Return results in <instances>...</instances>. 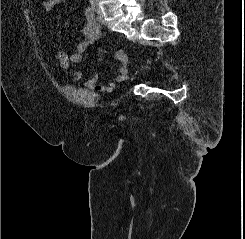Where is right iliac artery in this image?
<instances>
[{"instance_id":"obj_1","label":"right iliac artery","mask_w":245,"mask_h":239,"mask_svg":"<svg viewBox=\"0 0 245 239\" xmlns=\"http://www.w3.org/2000/svg\"><path fill=\"white\" fill-rule=\"evenodd\" d=\"M96 21H97L99 24H101V25H104V24H105L104 21H103V19H102L101 17H99V16L96 17Z\"/></svg>"}]
</instances>
